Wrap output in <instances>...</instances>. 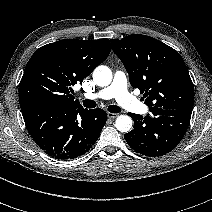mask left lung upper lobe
Instances as JSON below:
<instances>
[{"label":"left lung upper lobe","mask_w":212,"mask_h":212,"mask_svg":"<svg viewBox=\"0 0 212 212\" xmlns=\"http://www.w3.org/2000/svg\"><path fill=\"white\" fill-rule=\"evenodd\" d=\"M111 44L129 74L131 86L146 97V105L192 111L193 83L176 50L140 34L112 39Z\"/></svg>","instance_id":"1"}]
</instances>
